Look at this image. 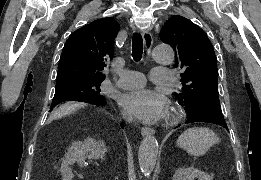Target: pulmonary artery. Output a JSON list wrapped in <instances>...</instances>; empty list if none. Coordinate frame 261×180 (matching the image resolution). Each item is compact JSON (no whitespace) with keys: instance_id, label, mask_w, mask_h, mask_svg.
Instances as JSON below:
<instances>
[{"instance_id":"1","label":"pulmonary artery","mask_w":261,"mask_h":180,"mask_svg":"<svg viewBox=\"0 0 261 180\" xmlns=\"http://www.w3.org/2000/svg\"><path fill=\"white\" fill-rule=\"evenodd\" d=\"M118 74L120 78L116 85L120 88H142V83L145 81V76L136 71L122 70ZM173 75V72H170V67H155L151 72L155 83H172V78L165 77H173Z\"/></svg>"}]
</instances>
